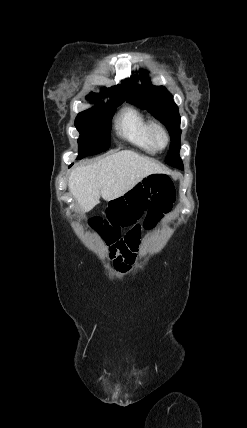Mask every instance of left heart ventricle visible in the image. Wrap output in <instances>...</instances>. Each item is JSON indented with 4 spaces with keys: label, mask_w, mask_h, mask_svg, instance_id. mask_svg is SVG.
Returning <instances> with one entry per match:
<instances>
[{
    "label": "left heart ventricle",
    "mask_w": 247,
    "mask_h": 428,
    "mask_svg": "<svg viewBox=\"0 0 247 428\" xmlns=\"http://www.w3.org/2000/svg\"><path fill=\"white\" fill-rule=\"evenodd\" d=\"M159 139H160V141H161V142L163 141V138H162V137H160Z\"/></svg>",
    "instance_id": "1"
}]
</instances>
